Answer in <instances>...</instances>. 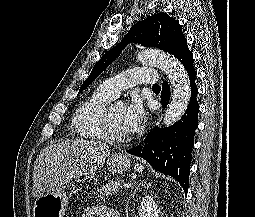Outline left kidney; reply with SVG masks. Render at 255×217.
Segmentation results:
<instances>
[{
	"mask_svg": "<svg viewBox=\"0 0 255 217\" xmlns=\"http://www.w3.org/2000/svg\"><path fill=\"white\" fill-rule=\"evenodd\" d=\"M160 210L152 196L147 195L142 199L139 208V217H159Z\"/></svg>",
	"mask_w": 255,
	"mask_h": 217,
	"instance_id": "obj_1",
	"label": "left kidney"
}]
</instances>
